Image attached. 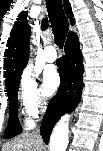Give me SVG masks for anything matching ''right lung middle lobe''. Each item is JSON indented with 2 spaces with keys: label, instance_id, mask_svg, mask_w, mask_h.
Returning a JSON list of instances; mask_svg holds the SVG:
<instances>
[{
  "label": "right lung middle lobe",
  "instance_id": "obj_1",
  "mask_svg": "<svg viewBox=\"0 0 103 151\" xmlns=\"http://www.w3.org/2000/svg\"><path fill=\"white\" fill-rule=\"evenodd\" d=\"M19 82L20 78L6 86L9 98V121L4 134L5 138H12L22 132L17 114L18 110L17 93L19 88Z\"/></svg>",
  "mask_w": 103,
  "mask_h": 151
}]
</instances>
